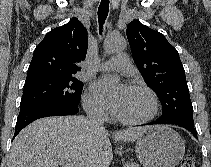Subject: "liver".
Wrapping results in <instances>:
<instances>
[{"label": "liver", "mask_w": 211, "mask_h": 167, "mask_svg": "<svg viewBox=\"0 0 211 167\" xmlns=\"http://www.w3.org/2000/svg\"><path fill=\"white\" fill-rule=\"evenodd\" d=\"M149 128H128L113 137L134 142ZM109 136L105 129L91 130L83 116L42 118L15 138L9 167H58L63 161L74 163V167H109L113 160Z\"/></svg>", "instance_id": "6515ba94"}]
</instances>
